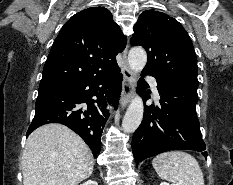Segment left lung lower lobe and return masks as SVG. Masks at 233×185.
Masks as SVG:
<instances>
[{
    "mask_svg": "<svg viewBox=\"0 0 233 185\" xmlns=\"http://www.w3.org/2000/svg\"><path fill=\"white\" fill-rule=\"evenodd\" d=\"M143 75H152L143 71ZM153 76V75H152ZM161 96L160 107L144 108L141 125L132 138L136 166L142 160L159 153L188 149L202 152L207 157L196 114L198 82L188 79H157ZM148 84L141 79L139 93L144 101Z\"/></svg>",
    "mask_w": 233,
    "mask_h": 185,
    "instance_id": "obj_1",
    "label": "left lung lower lobe"
}]
</instances>
